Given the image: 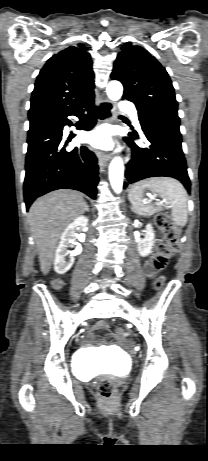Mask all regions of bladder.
Here are the masks:
<instances>
[{
    "instance_id": "obj_1",
    "label": "bladder",
    "mask_w": 208,
    "mask_h": 461,
    "mask_svg": "<svg viewBox=\"0 0 208 461\" xmlns=\"http://www.w3.org/2000/svg\"><path fill=\"white\" fill-rule=\"evenodd\" d=\"M79 357L76 368L80 371L110 372L117 376H123L127 373V364L119 360H95L85 352L80 353Z\"/></svg>"
}]
</instances>
